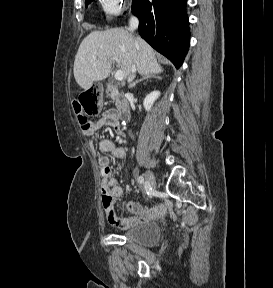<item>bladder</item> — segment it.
<instances>
[{
  "label": "bladder",
  "instance_id": "obj_1",
  "mask_svg": "<svg viewBox=\"0 0 273 288\" xmlns=\"http://www.w3.org/2000/svg\"><path fill=\"white\" fill-rule=\"evenodd\" d=\"M122 236L139 247H154L161 240V230L156 223H144L131 227Z\"/></svg>",
  "mask_w": 273,
  "mask_h": 288
}]
</instances>
